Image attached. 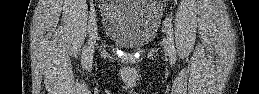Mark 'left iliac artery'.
I'll use <instances>...</instances> for the list:
<instances>
[{
  "mask_svg": "<svg viewBox=\"0 0 259 94\" xmlns=\"http://www.w3.org/2000/svg\"><path fill=\"white\" fill-rule=\"evenodd\" d=\"M166 34L169 45V57L172 64L175 63V47H174V36H173V25L170 18H166Z\"/></svg>",
  "mask_w": 259,
  "mask_h": 94,
  "instance_id": "1",
  "label": "left iliac artery"
}]
</instances>
